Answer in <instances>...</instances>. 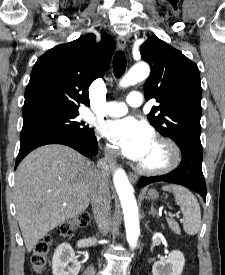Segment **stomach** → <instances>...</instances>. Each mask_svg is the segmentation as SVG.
Wrapping results in <instances>:
<instances>
[{
  "mask_svg": "<svg viewBox=\"0 0 225 275\" xmlns=\"http://www.w3.org/2000/svg\"><path fill=\"white\" fill-rule=\"evenodd\" d=\"M148 198L150 200H156L158 198V193L155 190L148 191Z\"/></svg>",
  "mask_w": 225,
  "mask_h": 275,
  "instance_id": "0dacf381",
  "label": "stomach"
}]
</instances>
